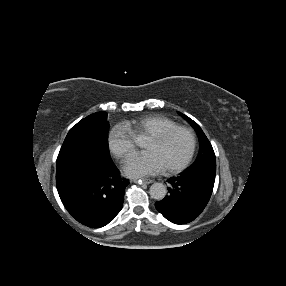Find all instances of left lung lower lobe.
Masks as SVG:
<instances>
[{"instance_id": "0a47b994", "label": "left lung lower lobe", "mask_w": 286, "mask_h": 286, "mask_svg": "<svg viewBox=\"0 0 286 286\" xmlns=\"http://www.w3.org/2000/svg\"><path fill=\"white\" fill-rule=\"evenodd\" d=\"M216 163L186 169L168 179L169 193L155 203L156 209L169 221L185 224L193 221L207 205L214 186Z\"/></svg>"}]
</instances>
